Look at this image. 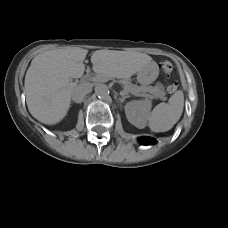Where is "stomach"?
<instances>
[{"label": "stomach", "mask_w": 228, "mask_h": 228, "mask_svg": "<svg viewBox=\"0 0 228 228\" xmlns=\"http://www.w3.org/2000/svg\"><path fill=\"white\" fill-rule=\"evenodd\" d=\"M158 72L159 69L157 64L151 63L137 73V80L143 86H147L156 80Z\"/></svg>", "instance_id": "0dacf381"}]
</instances>
